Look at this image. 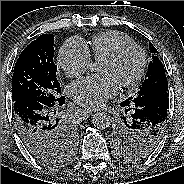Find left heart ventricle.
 I'll list each match as a JSON object with an SVG mask.
<instances>
[{"label": "left heart ventricle", "mask_w": 184, "mask_h": 184, "mask_svg": "<svg viewBox=\"0 0 184 184\" xmlns=\"http://www.w3.org/2000/svg\"><path fill=\"white\" fill-rule=\"evenodd\" d=\"M140 63V57L136 52H130L117 64L101 61L99 73L112 76L118 84L130 79L136 73Z\"/></svg>", "instance_id": "b2bd125f"}]
</instances>
